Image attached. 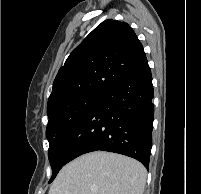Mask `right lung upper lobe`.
<instances>
[{"mask_svg":"<svg viewBox=\"0 0 201 194\" xmlns=\"http://www.w3.org/2000/svg\"><path fill=\"white\" fill-rule=\"evenodd\" d=\"M145 59L143 46L127 23L105 20L71 52L60 68L47 112L80 97L103 95Z\"/></svg>","mask_w":201,"mask_h":194,"instance_id":"obj_1","label":"right lung upper lobe"}]
</instances>
